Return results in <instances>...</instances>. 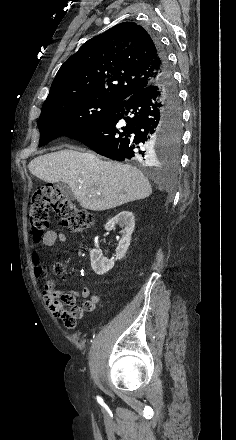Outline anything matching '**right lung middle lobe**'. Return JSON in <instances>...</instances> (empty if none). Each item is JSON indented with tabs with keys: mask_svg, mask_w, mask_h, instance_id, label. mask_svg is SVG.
Segmentation results:
<instances>
[{
	"mask_svg": "<svg viewBox=\"0 0 236 440\" xmlns=\"http://www.w3.org/2000/svg\"><path fill=\"white\" fill-rule=\"evenodd\" d=\"M119 102H110L93 97L44 102L38 120L40 130L39 147L60 136H72L87 130L108 118ZM181 140V126L165 129L158 142L162 149L160 157L175 163Z\"/></svg>",
	"mask_w": 236,
	"mask_h": 440,
	"instance_id": "right-lung-middle-lobe-1",
	"label": "right lung middle lobe"
}]
</instances>
